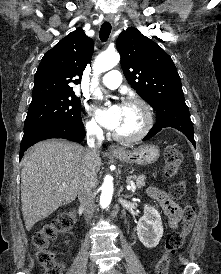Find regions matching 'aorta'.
<instances>
[{"instance_id": "762f6f07", "label": "aorta", "mask_w": 221, "mask_h": 274, "mask_svg": "<svg viewBox=\"0 0 221 274\" xmlns=\"http://www.w3.org/2000/svg\"><path fill=\"white\" fill-rule=\"evenodd\" d=\"M119 60H120V56L116 52L102 54L97 57L94 64V77L92 79V90H94L98 85L99 74L112 69L114 66L118 64ZM113 190L114 188H113L112 178L109 176H106L101 186L100 205L102 208H105L110 204L112 195H113Z\"/></svg>"}]
</instances>
